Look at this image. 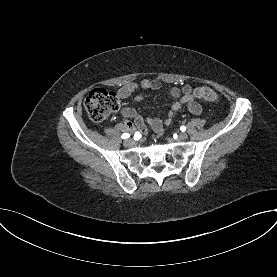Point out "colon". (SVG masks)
<instances>
[{"mask_svg":"<svg viewBox=\"0 0 277 277\" xmlns=\"http://www.w3.org/2000/svg\"><path fill=\"white\" fill-rule=\"evenodd\" d=\"M194 94L197 98L208 101L218 99V95L212 89L204 86L196 88ZM84 105L89 117L95 122H100L119 108V100L114 92L96 88L88 93Z\"/></svg>","mask_w":277,"mask_h":277,"instance_id":"colon-1","label":"colon"}]
</instances>
